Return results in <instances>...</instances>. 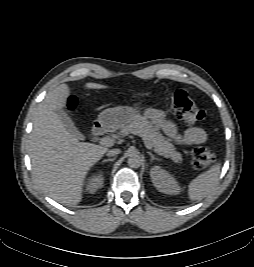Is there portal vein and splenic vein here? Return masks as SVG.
Masks as SVG:
<instances>
[{
  "label": "portal vein and splenic vein",
  "mask_w": 254,
  "mask_h": 267,
  "mask_svg": "<svg viewBox=\"0 0 254 267\" xmlns=\"http://www.w3.org/2000/svg\"><path fill=\"white\" fill-rule=\"evenodd\" d=\"M100 143L104 146H112L114 144V140L110 137H104L101 139ZM144 144L147 149H152V146L149 143L144 141Z\"/></svg>",
  "instance_id": "18ae733b"
}]
</instances>
